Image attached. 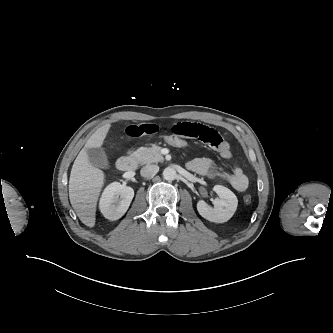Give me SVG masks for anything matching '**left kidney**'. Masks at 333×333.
<instances>
[{
    "instance_id": "obj_1",
    "label": "left kidney",
    "mask_w": 333,
    "mask_h": 333,
    "mask_svg": "<svg viewBox=\"0 0 333 333\" xmlns=\"http://www.w3.org/2000/svg\"><path fill=\"white\" fill-rule=\"evenodd\" d=\"M213 190L218 195V198L213 202V206L200 200L197 203V210L203 218L210 222L224 223L234 215L238 200L230 189L222 185H215Z\"/></svg>"
}]
</instances>
